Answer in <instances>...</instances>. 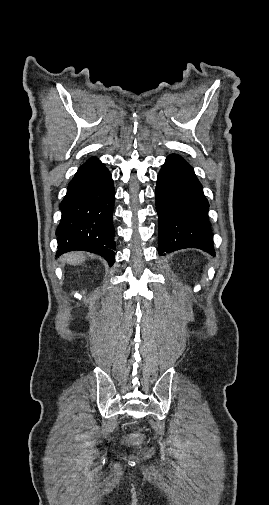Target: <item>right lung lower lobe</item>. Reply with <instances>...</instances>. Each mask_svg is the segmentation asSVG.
I'll return each instance as SVG.
<instances>
[{"label": "right lung lower lobe", "instance_id": "right-lung-lower-lobe-1", "mask_svg": "<svg viewBox=\"0 0 269 505\" xmlns=\"http://www.w3.org/2000/svg\"><path fill=\"white\" fill-rule=\"evenodd\" d=\"M114 195L112 175L97 158L78 169L59 206L62 218L56 229L57 256L82 250L101 255L110 265L114 263Z\"/></svg>", "mask_w": 269, "mask_h": 505}]
</instances>
